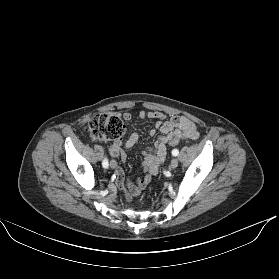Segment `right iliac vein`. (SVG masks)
Instances as JSON below:
<instances>
[{
  "label": "right iliac vein",
  "mask_w": 279,
  "mask_h": 279,
  "mask_svg": "<svg viewBox=\"0 0 279 279\" xmlns=\"http://www.w3.org/2000/svg\"><path fill=\"white\" fill-rule=\"evenodd\" d=\"M116 166H117L116 161H115V160H111V161H110V167H111V168H115Z\"/></svg>",
  "instance_id": "63e3f726"
}]
</instances>
